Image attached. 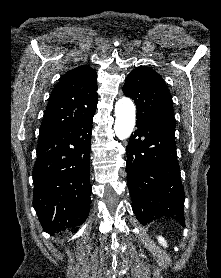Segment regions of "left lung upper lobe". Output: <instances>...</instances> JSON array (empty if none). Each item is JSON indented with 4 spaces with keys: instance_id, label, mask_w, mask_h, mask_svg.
Wrapping results in <instances>:
<instances>
[{
    "instance_id": "5c2ea615",
    "label": "left lung upper lobe",
    "mask_w": 221,
    "mask_h": 278,
    "mask_svg": "<svg viewBox=\"0 0 221 278\" xmlns=\"http://www.w3.org/2000/svg\"><path fill=\"white\" fill-rule=\"evenodd\" d=\"M122 90L135 101L137 121L175 123L172 97L163 78L153 69H134L127 76Z\"/></svg>"
}]
</instances>
